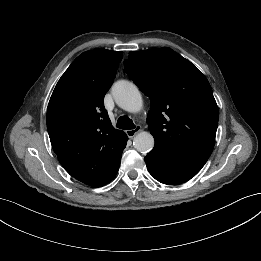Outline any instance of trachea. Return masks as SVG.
Wrapping results in <instances>:
<instances>
[{"label": "trachea", "mask_w": 261, "mask_h": 261, "mask_svg": "<svg viewBox=\"0 0 261 261\" xmlns=\"http://www.w3.org/2000/svg\"><path fill=\"white\" fill-rule=\"evenodd\" d=\"M117 127L124 130L134 129L135 125L128 116H121L117 121Z\"/></svg>", "instance_id": "obj_1"}]
</instances>
